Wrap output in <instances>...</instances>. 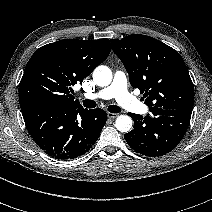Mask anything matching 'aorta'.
Returning <instances> with one entry per match:
<instances>
[{"label":"aorta","mask_w":212,"mask_h":212,"mask_svg":"<svg viewBox=\"0 0 212 212\" xmlns=\"http://www.w3.org/2000/svg\"><path fill=\"white\" fill-rule=\"evenodd\" d=\"M93 81L98 86H108L112 81V71L104 65L96 67L93 71ZM132 119L128 115H120L115 121V126L120 132H129L132 128Z\"/></svg>","instance_id":"762f6f07"}]
</instances>
